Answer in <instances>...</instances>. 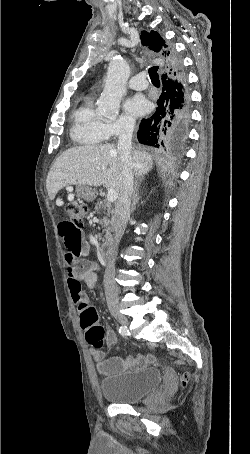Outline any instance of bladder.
<instances>
[{
    "label": "bladder",
    "instance_id": "1",
    "mask_svg": "<svg viewBox=\"0 0 250 454\" xmlns=\"http://www.w3.org/2000/svg\"><path fill=\"white\" fill-rule=\"evenodd\" d=\"M162 373L157 367L118 372L101 380L103 397L114 404H134L153 394L160 387Z\"/></svg>",
    "mask_w": 250,
    "mask_h": 454
}]
</instances>
